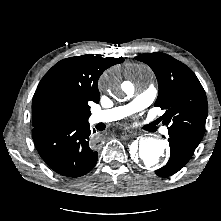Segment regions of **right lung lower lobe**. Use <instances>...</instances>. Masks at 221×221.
Wrapping results in <instances>:
<instances>
[{
  "mask_svg": "<svg viewBox=\"0 0 221 221\" xmlns=\"http://www.w3.org/2000/svg\"><path fill=\"white\" fill-rule=\"evenodd\" d=\"M32 137L42 159L61 175L80 177L96 165L98 153L88 121L40 125L33 128Z\"/></svg>",
  "mask_w": 221,
  "mask_h": 221,
  "instance_id": "obj_1",
  "label": "right lung lower lobe"
}]
</instances>
